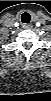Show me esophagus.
Instances as JSON below:
<instances>
[{"instance_id": "esophagus-1", "label": "esophagus", "mask_w": 51, "mask_h": 101, "mask_svg": "<svg viewBox=\"0 0 51 101\" xmlns=\"http://www.w3.org/2000/svg\"><path fill=\"white\" fill-rule=\"evenodd\" d=\"M32 24H23L24 29H32Z\"/></svg>"}]
</instances>
